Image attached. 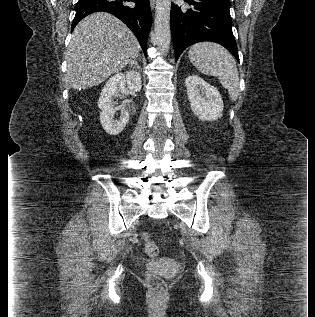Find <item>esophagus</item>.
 Segmentation results:
<instances>
[{
	"label": "esophagus",
	"instance_id": "1",
	"mask_svg": "<svg viewBox=\"0 0 315 317\" xmlns=\"http://www.w3.org/2000/svg\"><path fill=\"white\" fill-rule=\"evenodd\" d=\"M150 5H151V8L153 9L155 6V0H150Z\"/></svg>",
	"mask_w": 315,
	"mask_h": 317
}]
</instances>
